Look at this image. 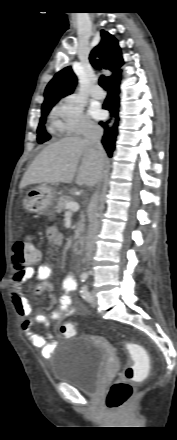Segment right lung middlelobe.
<instances>
[{
  "label": "right lung middle lobe",
  "instance_id": "1",
  "mask_svg": "<svg viewBox=\"0 0 177 440\" xmlns=\"http://www.w3.org/2000/svg\"><path fill=\"white\" fill-rule=\"evenodd\" d=\"M56 103L57 102H49V103H43L42 105V109H41L42 116L40 118V123L37 129V133H38L37 140L40 144L50 139V135L46 133L44 123L46 116L48 115V113Z\"/></svg>",
  "mask_w": 177,
  "mask_h": 440
}]
</instances>
